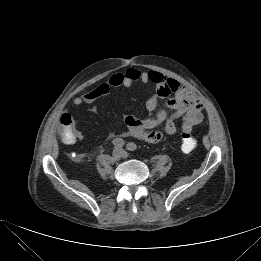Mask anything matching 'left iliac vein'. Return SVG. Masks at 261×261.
Segmentation results:
<instances>
[{"label": "left iliac vein", "instance_id": "obj_1", "mask_svg": "<svg viewBox=\"0 0 261 261\" xmlns=\"http://www.w3.org/2000/svg\"><path fill=\"white\" fill-rule=\"evenodd\" d=\"M123 156H124V157H127V154H124Z\"/></svg>", "mask_w": 261, "mask_h": 261}]
</instances>
